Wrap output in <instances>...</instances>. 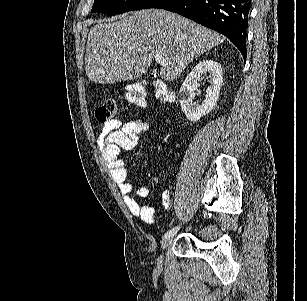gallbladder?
Instances as JSON below:
<instances>
[{
    "mask_svg": "<svg viewBox=\"0 0 307 301\" xmlns=\"http://www.w3.org/2000/svg\"><path fill=\"white\" fill-rule=\"evenodd\" d=\"M149 76H151V78H156V76H158L156 70H153V72H149Z\"/></svg>",
    "mask_w": 307,
    "mask_h": 301,
    "instance_id": "obj_1",
    "label": "gallbladder"
}]
</instances>
